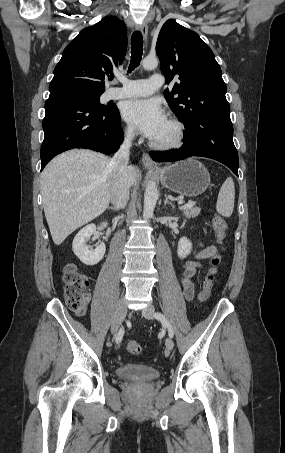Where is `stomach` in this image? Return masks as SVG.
<instances>
[{"mask_svg": "<svg viewBox=\"0 0 285 453\" xmlns=\"http://www.w3.org/2000/svg\"><path fill=\"white\" fill-rule=\"evenodd\" d=\"M155 173L165 188L182 196H198L205 192L210 184L207 168L193 158L176 162Z\"/></svg>", "mask_w": 285, "mask_h": 453, "instance_id": "stomach-1", "label": "stomach"}]
</instances>
